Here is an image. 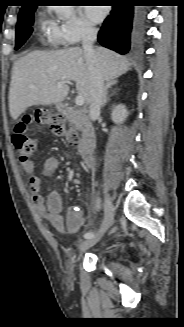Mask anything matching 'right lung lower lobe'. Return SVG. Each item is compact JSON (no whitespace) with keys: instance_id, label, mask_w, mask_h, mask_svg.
I'll return each instance as SVG.
<instances>
[{"instance_id":"right-lung-lower-lobe-1","label":"right lung lower lobe","mask_w":184,"mask_h":327,"mask_svg":"<svg viewBox=\"0 0 184 327\" xmlns=\"http://www.w3.org/2000/svg\"><path fill=\"white\" fill-rule=\"evenodd\" d=\"M144 15L131 5H114L98 33V41L106 48L126 54L141 41Z\"/></svg>"}]
</instances>
